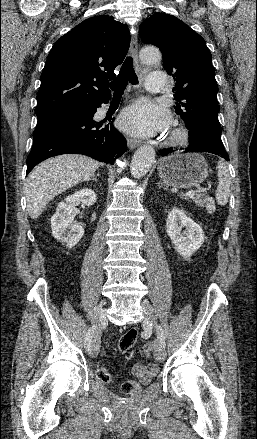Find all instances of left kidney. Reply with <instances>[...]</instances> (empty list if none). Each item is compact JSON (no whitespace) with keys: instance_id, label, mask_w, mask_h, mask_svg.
<instances>
[{"instance_id":"obj_1","label":"left kidney","mask_w":257,"mask_h":439,"mask_svg":"<svg viewBox=\"0 0 257 439\" xmlns=\"http://www.w3.org/2000/svg\"><path fill=\"white\" fill-rule=\"evenodd\" d=\"M166 232L177 252L186 259L198 250L205 240L202 228L179 208H173L168 214Z\"/></svg>"}]
</instances>
